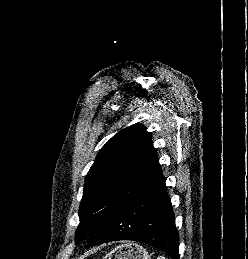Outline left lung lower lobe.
<instances>
[{
  "label": "left lung lower lobe",
  "instance_id": "0a47b994",
  "mask_svg": "<svg viewBox=\"0 0 248 259\" xmlns=\"http://www.w3.org/2000/svg\"><path fill=\"white\" fill-rule=\"evenodd\" d=\"M117 240L152 245L179 259V234L166 192L165 179L143 197L135 200L92 236L86 248Z\"/></svg>",
  "mask_w": 248,
  "mask_h": 259
}]
</instances>
